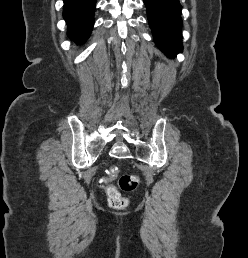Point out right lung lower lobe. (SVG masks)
I'll return each instance as SVG.
<instances>
[{"label": "right lung lower lobe", "mask_w": 248, "mask_h": 258, "mask_svg": "<svg viewBox=\"0 0 248 258\" xmlns=\"http://www.w3.org/2000/svg\"><path fill=\"white\" fill-rule=\"evenodd\" d=\"M96 0H64L63 16L68 24V34L77 43L89 37L94 23Z\"/></svg>", "instance_id": "right-lung-lower-lobe-1"}]
</instances>
